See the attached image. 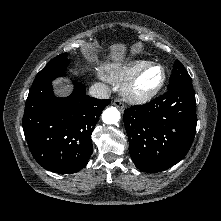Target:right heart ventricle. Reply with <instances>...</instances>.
I'll return each instance as SVG.
<instances>
[{
    "mask_svg": "<svg viewBox=\"0 0 221 221\" xmlns=\"http://www.w3.org/2000/svg\"><path fill=\"white\" fill-rule=\"evenodd\" d=\"M149 63L147 60L136 59L127 64H106L103 68V77L111 83L123 84Z\"/></svg>",
    "mask_w": 221,
    "mask_h": 221,
    "instance_id": "obj_1",
    "label": "right heart ventricle"
}]
</instances>
